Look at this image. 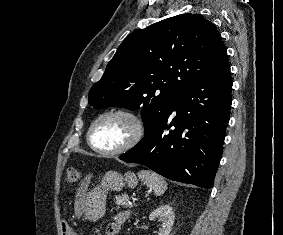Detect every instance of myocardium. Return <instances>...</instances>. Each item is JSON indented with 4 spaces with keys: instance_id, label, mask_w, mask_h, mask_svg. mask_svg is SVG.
<instances>
[{
    "instance_id": "obj_1",
    "label": "myocardium",
    "mask_w": 283,
    "mask_h": 235,
    "mask_svg": "<svg viewBox=\"0 0 283 235\" xmlns=\"http://www.w3.org/2000/svg\"><path fill=\"white\" fill-rule=\"evenodd\" d=\"M111 116H121L129 120L132 125V132H131L129 139L121 146L115 149H111V150H104L93 144L92 137H93V133L97 125L105 118L111 117ZM145 129H146L145 124L142 118L135 112L129 109H124V108L110 109V110H107L101 113L91 123L88 129V133H87V141L89 145L91 146V148L101 155H107V156L119 155V154L128 152L134 147H136L144 138Z\"/></svg>"
}]
</instances>
